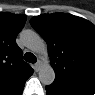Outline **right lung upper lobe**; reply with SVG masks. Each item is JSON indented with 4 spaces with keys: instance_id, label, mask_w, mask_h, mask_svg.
Returning <instances> with one entry per match:
<instances>
[{
    "instance_id": "1",
    "label": "right lung upper lobe",
    "mask_w": 95,
    "mask_h": 95,
    "mask_svg": "<svg viewBox=\"0 0 95 95\" xmlns=\"http://www.w3.org/2000/svg\"><path fill=\"white\" fill-rule=\"evenodd\" d=\"M25 22L24 15L0 13V95H21L34 72L22 60V51L15 41Z\"/></svg>"
}]
</instances>
